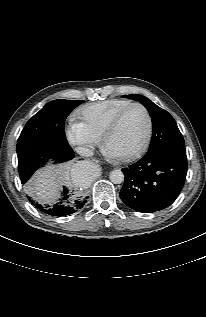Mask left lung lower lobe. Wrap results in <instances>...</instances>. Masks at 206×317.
Listing matches in <instances>:
<instances>
[{"mask_svg":"<svg viewBox=\"0 0 206 317\" xmlns=\"http://www.w3.org/2000/svg\"><path fill=\"white\" fill-rule=\"evenodd\" d=\"M125 181L121 200L144 213L165 209L178 197L187 174L186 153L163 150L145 154L135 164L123 168Z\"/></svg>","mask_w":206,"mask_h":317,"instance_id":"left-lung-lower-lobe-1","label":"left lung lower lobe"}]
</instances>
